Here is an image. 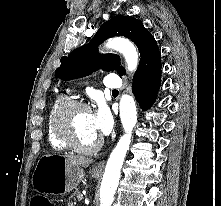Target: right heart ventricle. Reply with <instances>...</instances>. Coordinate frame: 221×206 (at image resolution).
Wrapping results in <instances>:
<instances>
[{"label":"right heart ventricle","mask_w":221,"mask_h":206,"mask_svg":"<svg viewBox=\"0 0 221 206\" xmlns=\"http://www.w3.org/2000/svg\"><path fill=\"white\" fill-rule=\"evenodd\" d=\"M70 100L67 96H61L58 97L54 103L52 104L48 116H47V122H46V132H47V138L50 143V145L57 150H66L68 147L59 140V138L56 136L53 128V116L56 111V109L64 102Z\"/></svg>","instance_id":"right-heart-ventricle-1"}]
</instances>
